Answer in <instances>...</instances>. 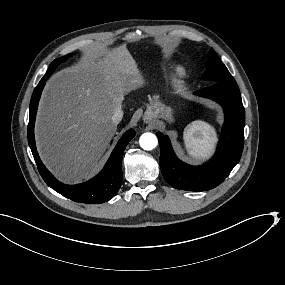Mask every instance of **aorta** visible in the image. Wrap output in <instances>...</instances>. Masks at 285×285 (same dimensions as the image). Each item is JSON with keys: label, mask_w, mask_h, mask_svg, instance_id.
Returning a JSON list of instances; mask_svg holds the SVG:
<instances>
[{"label": "aorta", "mask_w": 285, "mask_h": 285, "mask_svg": "<svg viewBox=\"0 0 285 285\" xmlns=\"http://www.w3.org/2000/svg\"><path fill=\"white\" fill-rule=\"evenodd\" d=\"M139 142H140V146L144 150H152L158 144L157 137L153 133H149V132L142 134Z\"/></svg>", "instance_id": "aorta-1"}]
</instances>
